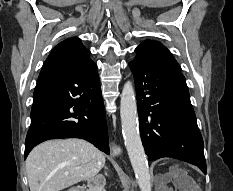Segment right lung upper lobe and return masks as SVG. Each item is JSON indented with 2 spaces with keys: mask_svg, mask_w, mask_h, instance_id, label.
<instances>
[{
  "mask_svg": "<svg viewBox=\"0 0 233 191\" xmlns=\"http://www.w3.org/2000/svg\"><path fill=\"white\" fill-rule=\"evenodd\" d=\"M89 54L90 51L78 38H68L60 42L51 51L41 71L47 69H78L92 61Z\"/></svg>",
  "mask_w": 233,
  "mask_h": 191,
  "instance_id": "right-lung-upper-lobe-1",
  "label": "right lung upper lobe"
}]
</instances>
